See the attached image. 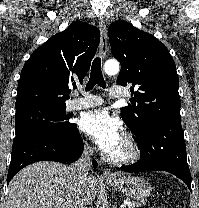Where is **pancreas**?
<instances>
[{
	"label": "pancreas",
	"mask_w": 199,
	"mask_h": 208,
	"mask_svg": "<svg viewBox=\"0 0 199 208\" xmlns=\"http://www.w3.org/2000/svg\"><path fill=\"white\" fill-rule=\"evenodd\" d=\"M140 206H141V203H139L138 201L128 200V204H127L128 208H135V207H140Z\"/></svg>",
	"instance_id": "obj_1"
}]
</instances>
